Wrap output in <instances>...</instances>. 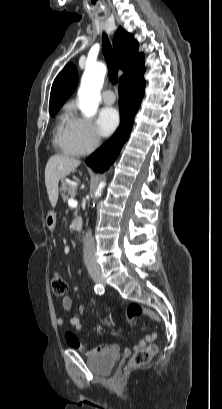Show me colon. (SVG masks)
I'll use <instances>...</instances> for the list:
<instances>
[{
  "instance_id": "colon-1",
  "label": "colon",
  "mask_w": 222,
  "mask_h": 409,
  "mask_svg": "<svg viewBox=\"0 0 222 409\" xmlns=\"http://www.w3.org/2000/svg\"><path fill=\"white\" fill-rule=\"evenodd\" d=\"M50 286L53 294L59 298L64 297L68 290L66 281L58 273H55L52 276ZM140 315H146L153 319H157V315L154 312L144 309L136 303L128 305L126 309V318L129 321H132L135 317ZM156 350L157 348L154 344L145 345L134 353L130 359L129 366H141L147 364L156 353Z\"/></svg>"
}]
</instances>
